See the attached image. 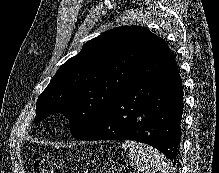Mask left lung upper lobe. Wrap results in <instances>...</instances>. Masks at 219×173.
I'll use <instances>...</instances> for the list:
<instances>
[{"label": "left lung upper lobe", "mask_w": 219, "mask_h": 173, "mask_svg": "<svg viewBox=\"0 0 219 173\" xmlns=\"http://www.w3.org/2000/svg\"><path fill=\"white\" fill-rule=\"evenodd\" d=\"M163 42L140 26L114 28L90 40L38 97L34 123L62 113L69 118L73 137L87 134L137 82L140 68Z\"/></svg>", "instance_id": "1"}]
</instances>
